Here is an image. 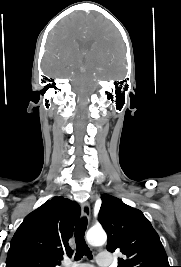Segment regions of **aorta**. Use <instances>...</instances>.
<instances>
[{"label":"aorta","instance_id":"1","mask_svg":"<svg viewBox=\"0 0 181 267\" xmlns=\"http://www.w3.org/2000/svg\"><path fill=\"white\" fill-rule=\"evenodd\" d=\"M86 239L92 246H101L107 241V235L102 229H90L86 234Z\"/></svg>","mask_w":181,"mask_h":267}]
</instances>
